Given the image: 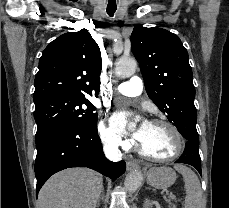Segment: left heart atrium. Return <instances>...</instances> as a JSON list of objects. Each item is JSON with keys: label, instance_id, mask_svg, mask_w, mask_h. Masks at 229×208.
I'll return each instance as SVG.
<instances>
[{"label": "left heart atrium", "instance_id": "1", "mask_svg": "<svg viewBox=\"0 0 229 208\" xmlns=\"http://www.w3.org/2000/svg\"><path fill=\"white\" fill-rule=\"evenodd\" d=\"M112 122L114 124V126L120 130V131H125V126H126V115L122 112H118L116 114L113 115L112 117ZM148 122L144 121L140 127L137 129L135 136L141 140L142 137L144 136L145 132H146V128L148 126Z\"/></svg>", "mask_w": 229, "mask_h": 208}]
</instances>
